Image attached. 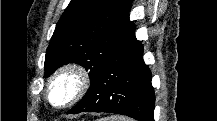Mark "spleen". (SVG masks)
<instances>
[{
	"label": "spleen",
	"mask_w": 217,
	"mask_h": 121,
	"mask_svg": "<svg viewBox=\"0 0 217 121\" xmlns=\"http://www.w3.org/2000/svg\"><path fill=\"white\" fill-rule=\"evenodd\" d=\"M101 121H128L127 118L121 116H114L105 119H101Z\"/></svg>",
	"instance_id": "spleen-1"
}]
</instances>
